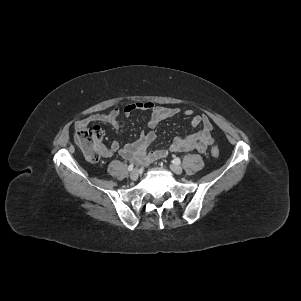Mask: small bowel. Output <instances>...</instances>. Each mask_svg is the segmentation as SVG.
<instances>
[{
  "instance_id": "1",
  "label": "small bowel",
  "mask_w": 301,
  "mask_h": 301,
  "mask_svg": "<svg viewBox=\"0 0 301 301\" xmlns=\"http://www.w3.org/2000/svg\"><path fill=\"white\" fill-rule=\"evenodd\" d=\"M135 111L150 112L148 125L150 128H156L162 121L174 117L180 113L179 108L163 107L152 102H135L126 105L123 113L129 115ZM121 110L117 107L107 113H95L76 123V129L89 125L92 122H102L109 124L113 128L120 125ZM184 115L190 118L191 126L196 128L201 126L200 130L186 137H175L169 146V149L149 150L154 142L156 134L151 131L142 133L139 139L133 143H127L123 146L118 141H112L109 147H102L101 153L110 157L119 154L126 160H136L141 164H149L153 161L165 158L169 152H185L196 150L204 153L209 146L213 144L212 123L205 115L195 114L193 110L187 109Z\"/></svg>"
}]
</instances>
